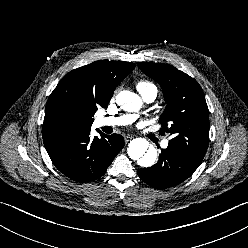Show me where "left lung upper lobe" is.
Instances as JSON below:
<instances>
[{"label": "left lung upper lobe", "instance_id": "5c2ea615", "mask_svg": "<svg viewBox=\"0 0 248 248\" xmlns=\"http://www.w3.org/2000/svg\"><path fill=\"white\" fill-rule=\"evenodd\" d=\"M137 65L162 88L167 106L159 119L160 134L173 135L169 146L201 163L208 147L210 125L200 85L169 64L138 62Z\"/></svg>", "mask_w": 248, "mask_h": 248}]
</instances>
